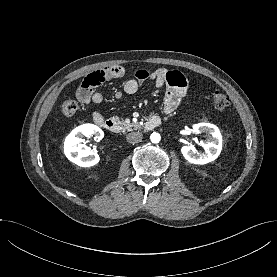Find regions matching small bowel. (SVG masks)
I'll return each instance as SVG.
<instances>
[{"label":"small bowel","mask_w":277,"mask_h":277,"mask_svg":"<svg viewBox=\"0 0 277 277\" xmlns=\"http://www.w3.org/2000/svg\"><path fill=\"white\" fill-rule=\"evenodd\" d=\"M123 72L121 66H110L90 73L78 88L77 99L83 104L90 102L100 104L103 101V94L95 88L104 82L121 77ZM146 81L154 82L156 88L162 91L163 110L167 114L172 113L187 94L188 84L182 73L158 68L153 71L137 70L132 78L125 81L123 91L115 93V98H122L123 92L129 95L135 94ZM101 118L104 117L100 112L95 111L93 113L94 122Z\"/></svg>","instance_id":"obj_1"}]
</instances>
